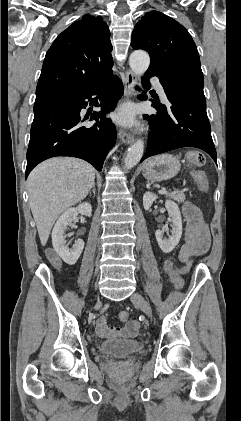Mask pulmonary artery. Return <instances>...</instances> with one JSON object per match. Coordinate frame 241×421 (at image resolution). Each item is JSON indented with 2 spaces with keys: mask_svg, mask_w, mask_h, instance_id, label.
Instances as JSON below:
<instances>
[{
  "mask_svg": "<svg viewBox=\"0 0 241 421\" xmlns=\"http://www.w3.org/2000/svg\"><path fill=\"white\" fill-rule=\"evenodd\" d=\"M152 85L154 86V88L157 90V92L164 97L165 96V91L164 88L162 86V84L159 82V80L157 78H153L151 80Z\"/></svg>",
  "mask_w": 241,
  "mask_h": 421,
  "instance_id": "1",
  "label": "pulmonary artery"
}]
</instances>
